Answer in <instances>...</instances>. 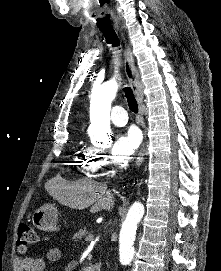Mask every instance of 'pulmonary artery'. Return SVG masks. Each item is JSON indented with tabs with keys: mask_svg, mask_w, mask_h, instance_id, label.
<instances>
[{
	"mask_svg": "<svg viewBox=\"0 0 221 271\" xmlns=\"http://www.w3.org/2000/svg\"><path fill=\"white\" fill-rule=\"evenodd\" d=\"M124 112V107H111L109 117H112V122H116V126H125V122H129V117Z\"/></svg>",
	"mask_w": 221,
	"mask_h": 271,
	"instance_id": "obj_1",
	"label": "pulmonary artery"
}]
</instances>
